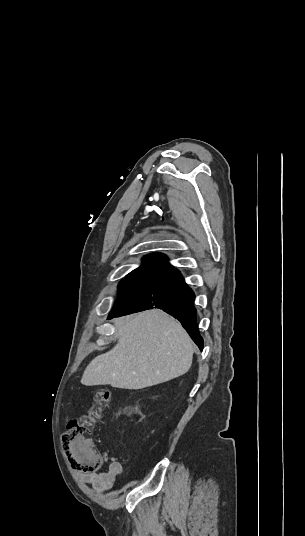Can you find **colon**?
<instances>
[{
  "label": "colon",
  "mask_w": 305,
  "mask_h": 536,
  "mask_svg": "<svg viewBox=\"0 0 305 536\" xmlns=\"http://www.w3.org/2000/svg\"><path fill=\"white\" fill-rule=\"evenodd\" d=\"M109 400L108 390L97 391L87 414L71 421L67 435H61V451L66 454L70 471L107 470L108 463L106 460H101L100 448L95 445L90 434L94 425L100 421Z\"/></svg>",
  "instance_id": "1"
}]
</instances>
